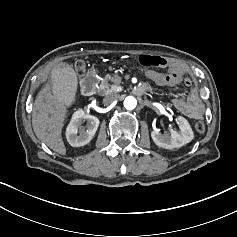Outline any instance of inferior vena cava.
I'll return each instance as SVG.
<instances>
[{"label":"inferior vena cava","instance_id":"1","mask_svg":"<svg viewBox=\"0 0 237 237\" xmlns=\"http://www.w3.org/2000/svg\"><path fill=\"white\" fill-rule=\"evenodd\" d=\"M118 99H119V95L110 94V95H107L103 98V104L104 105H110Z\"/></svg>","mask_w":237,"mask_h":237}]
</instances>
